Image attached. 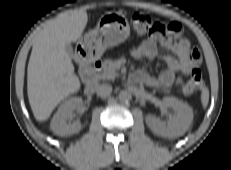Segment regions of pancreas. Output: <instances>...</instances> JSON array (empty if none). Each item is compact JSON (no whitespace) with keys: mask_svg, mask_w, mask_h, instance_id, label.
Segmentation results:
<instances>
[{"mask_svg":"<svg viewBox=\"0 0 231 170\" xmlns=\"http://www.w3.org/2000/svg\"><path fill=\"white\" fill-rule=\"evenodd\" d=\"M118 76L117 69L114 67V62L110 59H105L103 69L99 77L103 80H114Z\"/></svg>","mask_w":231,"mask_h":170,"instance_id":"cf45deb5","label":"pancreas"}]
</instances>
